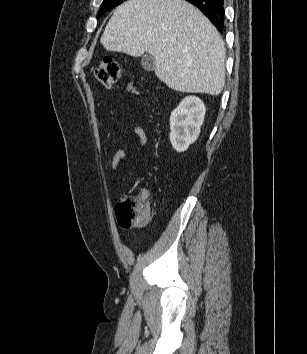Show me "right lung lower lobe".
<instances>
[{"label": "right lung lower lobe", "instance_id": "98d812e1", "mask_svg": "<svg viewBox=\"0 0 307 354\" xmlns=\"http://www.w3.org/2000/svg\"><path fill=\"white\" fill-rule=\"evenodd\" d=\"M198 7L222 32L224 28V0H186Z\"/></svg>", "mask_w": 307, "mask_h": 354}]
</instances>
